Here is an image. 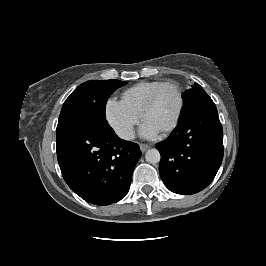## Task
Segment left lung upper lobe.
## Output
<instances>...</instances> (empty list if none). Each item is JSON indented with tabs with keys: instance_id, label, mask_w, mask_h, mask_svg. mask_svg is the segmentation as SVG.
<instances>
[{
	"instance_id": "5c2ea615",
	"label": "left lung upper lobe",
	"mask_w": 266,
	"mask_h": 266,
	"mask_svg": "<svg viewBox=\"0 0 266 266\" xmlns=\"http://www.w3.org/2000/svg\"><path fill=\"white\" fill-rule=\"evenodd\" d=\"M207 97H209L208 94L204 91V89L198 83H196L191 89L187 90L183 94V99H184L183 113L187 109H189L192 105H194L198 101L205 99Z\"/></svg>"
}]
</instances>
